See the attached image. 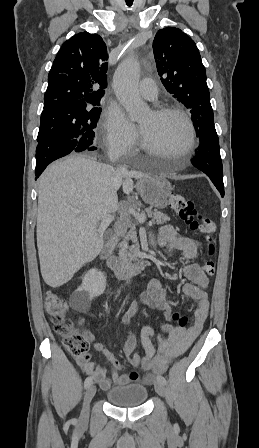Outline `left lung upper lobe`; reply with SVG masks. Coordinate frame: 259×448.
Masks as SVG:
<instances>
[{
  "label": "left lung upper lobe",
  "mask_w": 259,
  "mask_h": 448,
  "mask_svg": "<svg viewBox=\"0 0 259 448\" xmlns=\"http://www.w3.org/2000/svg\"><path fill=\"white\" fill-rule=\"evenodd\" d=\"M153 52L161 82L190 109L199 139L217 136L206 71L195 42L180 29L167 27L156 33Z\"/></svg>",
  "instance_id": "obj_1"
}]
</instances>
